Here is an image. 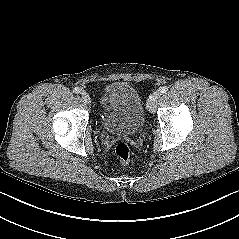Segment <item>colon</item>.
Returning <instances> with one entry per match:
<instances>
[{
    "mask_svg": "<svg viewBox=\"0 0 239 239\" xmlns=\"http://www.w3.org/2000/svg\"><path fill=\"white\" fill-rule=\"evenodd\" d=\"M114 153L122 164H126L129 162L131 157V149L127 143L125 142L117 143L114 148Z\"/></svg>",
    "mask_w": 239,
    "mask_h": 239,
    "instance_id": "obj_1",
    "label": "colon"
}]
</instances>
